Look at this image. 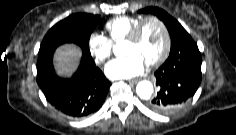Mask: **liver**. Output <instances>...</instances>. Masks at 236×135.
Masks as SVG:
<instances>
[{"label": "liver", "mask_w": 236, "mask_h": 135, "mask_svg": "<svg viewBox=\"0 0 236 135\" xmlns=\"http://www.w3.org/2000/svg\"><path fill=\"white\" fill-rule=\"evenodd\" d=\"M81 51L72 44L59 47L55 52V67L60 76H70L76 69Z\"/></svg>", "instance_id": "1"}]
</instances>
